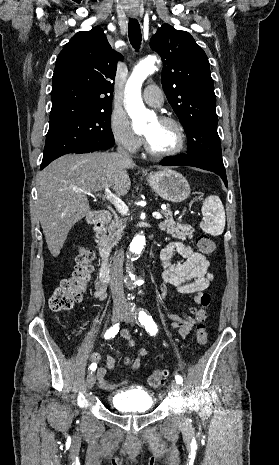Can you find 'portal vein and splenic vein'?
I'll return each mask as SVG.
<instances>
[{
	"instance_id": "18ae733b",
	"label": "portal vein and splenic vein",
	"mask_w": 279,
	"mask_h": 465,
	"mask_svg": "<svg viewBox=\"0 0 279 465\" xmlns=\"http://www.w3.org/2000/svg\"><path fill=\"white\" fill-rule=\"evenodd\" d=\"M97 196H99V197L102 196L103 198L108 200L110 203H112L114 205V207L116 208V210L121 215H127L128 214L129 209H128L127 205L119 197H117L116 195H114L110 191L108 185H106V187H105V194H103V195L98 194ZM152 216L154 218H156V219H161L162 218V215L159 212H154L152 214Z\"/></svg>"
}]
</instances>
